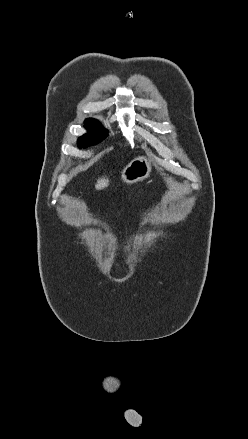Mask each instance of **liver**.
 I'll return each mask as SVG.
<instances>
[{
  "mask_svg": "<svg viewBox=\"0 0 248 439\" xmlns=\"http://www.w3.org/2000/svg\"><path fill=\"white\" fill-rule=\"evenodd\" d=\"M109 185V179L108 178H101L97 181L95 188L96 189H103Z\"/></svg>",
  "mask_w": 248,
  "mask_h": 439,
  "instance_id": "6515ba94",
  "label": "liver"
}]
</instances>
